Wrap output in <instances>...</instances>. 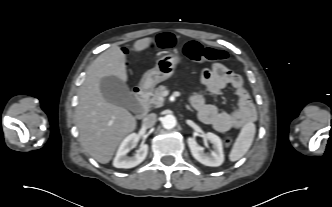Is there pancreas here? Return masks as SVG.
<instances>
[{"label":"pancreas","instance_id":"obj_1","mask_svg":"<svg viewBox=\"0 0 332 207\" xmlns=\"http://www.w3.org/2000/svg\"><path fill=\"white\" fill-rule=\"evenodd\" d=\"M167 91V86L160 85L151 93V98L147 101L148 105L151 107L159 108L163 106L164 92Z\"/></svg>","mask_w":332,"mask_h":207}]
</instances>
